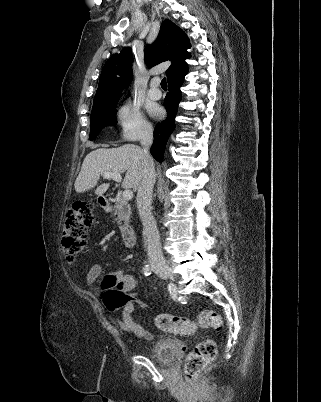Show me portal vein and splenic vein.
<instances>
[{"label": "portal vein and splenic vein", "instance_id": "portal-vein-and-splenic-vein-1", "mask_svg": "<svg viewBox=\"0 0 321 402\" xmlns=\"http://www.w3.org/2000/svg\"><path fill=\"white\" fill-rule=\"evenodd\" d=\"M103 177L105 179H110L111 178V179L115 180L116 182H121V180H122V177H121V175L119 173L106 172V173L103 174ZM122 197L125 200H130L133 197V192L130 189H126V190L123 191Z\"/></svg>", "mask_w": 321, "mask_h": 402}]
</instances>
